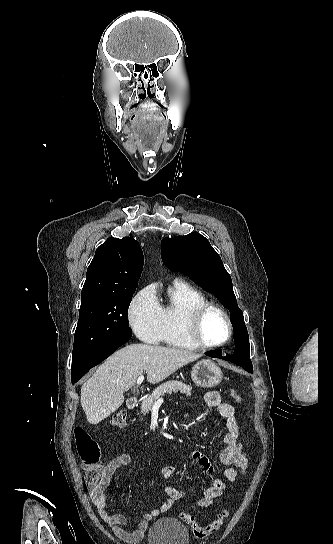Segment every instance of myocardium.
<instances>
[{"label": "myocardium", "mask_w": 333, "mask_h": 544, "mask_svg": "<svg viewBox=\"0 0 333 544\" xmlns=\"http://www.w3.org/2000/svg\"><path fill=\"white\" fill-rule=\"evenodd\" d=\"M211 310H217L218 312H220L225 318L227 327H228L227 338L224 341L219 343H208L204 340L202 335V324H203L204 318L207 315V313ZM187 327H188L189 336L192 339V341L199 348H204V349H213V348H219V347L225 346L232 339L233 332H234L232 320L230 318V315L226 311V309L222 305L215 302H211V301H206L196 306L191 311L188 317Z\"/></svg>", "instance_id": "f54148a6"}]
</instances>
